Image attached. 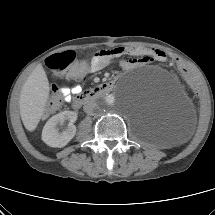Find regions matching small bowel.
Segmentation results:
<instances>
[{
    "label": "small bowel",
    "instance_id": "small-bowel-1",
    "mask_svg": "<svg viewBox=\"0 0 215 215\" xmlns=\"http://www.w3.org/2000/svg\"><path fill=\"white\" fill-rule=\"evenodd\" d=\"M122 56L133 57L132 59L122 60L120 62V67L123 70H131L152 62H164L167 59V54L160 49L142 46H119L95 53L90 61V67L80 76L85 75L87 72L100 71ZM81 90L82 88L78 84L72 86L63 85L60 87V92L66 102H71L73 96L79 94Z\"/></svg>",
    "mask_w": 215,
    "mask_h": 215
}]
</instances>
